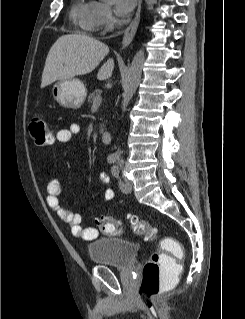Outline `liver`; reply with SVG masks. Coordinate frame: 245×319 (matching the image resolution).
Listing matches in <instances>:
<instances>
[{
    "label": "liver",
    "instance_id": "liver-1",
    "mask_svg": "<svg viewBox=\"0 0 245 319\" xmlns=\"http://www.w3.org/2000/svg\"><path fill=\"white\" fill-rule=\"evenodd\" d=\"M109 53L106 44L81 34L59 37L51 47L42 73L41 88L57 80L72 79L92 72ZM114 60L108 59L100 68L99 80L111 77Z\"/></svg>",
    "mask_w": 245,
    "mask_h": 319
}]
</instances>
